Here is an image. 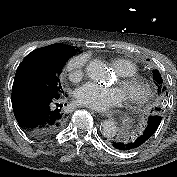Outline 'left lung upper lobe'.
<instances>
[{"mask_svg":"<svg viewBox=\"0 0 177 177\" xmlns=\"http://www.w3.org/2000/svg\"><path fill=\"white\" fill-rule=\"evenodd\" d=\"M154 79L156 82V85L158 87V99L159 101H162L166 98V96L168 97V93L166 92V87L163 83V79L159 73V71L157 69H155L154 71ZM160 108H155V110H153L154 113H158L160 114ZM118 139V138H117Z\"/></svg>","mask_w":177,"mask_h":177,"instance_id":"obj_1","label":"left lung upper lobe"}]
</instances>
